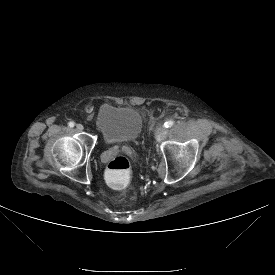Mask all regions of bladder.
<instances>
[{
  "label": "bladder",
  "mask_w": 275,
  "mask_h": 275,
  "mask_svg": "<svg viewBox=\"0 0 275 275\" xmlns=\"http://www.w3.org/2000/svg\"><path fill=\"white\" fill-rule=\"evenodd\" d=\"M95 123L105 142L128 143L140 136L144 119L136 107L104 104L96 115Z\"/></svg>",
  "instance_id": "obj_1"
}]
</instances>
